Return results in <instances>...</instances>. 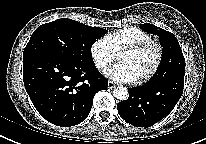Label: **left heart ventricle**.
<instances>
[{"instance_id": "b2bd125f", "label": "left heart ventricle", "mask_w": 206, "mask_h": 144, "mask_svg": "<svg viewBox=\"0 0 206 144\" xmlns=\"http://www.w3.org/2000/svg\"><path fill=\"white\" fill-rule=\"evenodd\" d=\"M155 52L152 48L138 53H122L118 56L120 63L126 64L132 71L135 79L145 75L154 62Z\"/></svg>"}]
</instances>
